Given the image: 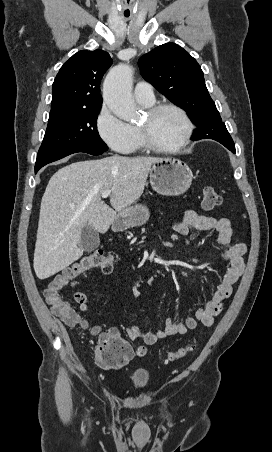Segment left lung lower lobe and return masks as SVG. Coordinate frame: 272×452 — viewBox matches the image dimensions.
<instances>
[{
  "instance_id": "obj_1",
  "label": "left lung lower lobe",
  "mask_w": 272,
  "mask_h": 452,
  "mask_svg": "<svg viewBox=\"0 0 272 452\" xmlns=\"http://www.w3.org/2000/svg\"><path fill=\"white\" fill-rule=\"evenodd\" d=\"M199 138H197V139H194L193 137H192V140H198ZM231 141H233L232 140V138H231V136H230V138H228V137H225V138H223V139H220V140H218V142H220L221 144H223L226 148H228L230 151H232L233 153H235V149H233L232 148V146H231ZM233 144H234V142H233ZM235 146V145H234Z\"/></svg>"
}]
</instances>
